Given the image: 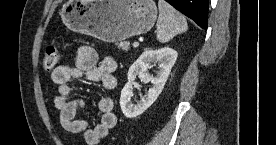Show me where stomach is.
Segmentation results:
<instances>
[{"label": "stomach", "instance_id": "1", "mask_svg": "<svg viewBox=\"0 0 276 145\" xmlns=\"http://www.w3.org/2000/svg\"><path fill=\"white\" fill-rule=\"evenodd\" d=\"M60 16L74 32L118 42L149 31L157 7L153 0H68Z\"/></svg>", "mask_w": 276, "mask_h": 145}]
</instances>
